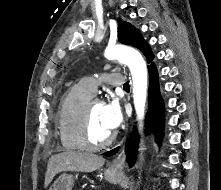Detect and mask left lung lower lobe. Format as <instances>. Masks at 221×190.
I'll return each instance as SVG.
<instances>
[{
	"label": "left lung lower lobe",
	"mask_w": 221,
	"mask_h": 190,
	"mask_svg": "<svg viewBox=\"0 0 221 190\" xmlns=\"http://www.w3.org/2000/svg\"><path fill=\"white\" fill-rule=\"evenodd\" d=\"M150 84H149V111L147 114L148 117V131H153L156 135V142L161 143V137H158V134L162 136L164 129V102L160 94V88L158 83V72L154 63H151L148 66ZM138 134L134 135V132L130 135L126 146L125 152L127 154V162L130 167L133 166L135 161V155L138 144ZM118 151V148L113 149L109 152H106V156H111Z\"/></svg>",
	"instance_id": "left-lung-lower-lobe-1"
}]
</instances>
